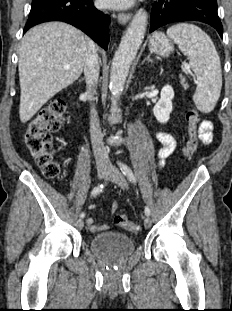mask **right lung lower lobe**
I'll return each instance as SVG.
<instances>
[{
  "instance_id": "98d812e1",
  "label": "right lung lower lobe",
  "mask_w": 232,
  "mask_h": 311,
  "mask_svg": "<svg viewBox=\"0 0 232 311\" xmlns=\"http://www.w3.org/2000/svg\"><path fill=\"white\" fill-rule=\"evenodd\" d=\"M48 21L69 23L107 49L110 17L97 10L92 0H33L24 33L29 28Z\"/></svg>"
}]
</instances>
